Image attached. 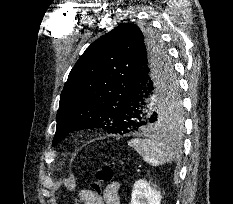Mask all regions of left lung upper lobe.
Returning <instances> with one entry per match:
<instances>
[{
  "label": "left lung upper lobe",
  "mask_w": 233,
  "mask_h": 204,
  "mask_svg": "<svg viewBox=\"0 0 233 204\" xmlns=\"http://www.w3.org/2000/svg\"><path fill=\"white\" fill-rule=\"evenodd\" d=\"M144 50L163 53L174 73L167 51L149 28L123 23L94 41L76 62L60 96L53 146L68 133L101 128L123 134L116 125L119 103L128 86L135 61ZM157 125L162 131H178L183 125L178 83L158 98Z\"/></svg>",
  "instance_id": "1"
}]
</instances>
